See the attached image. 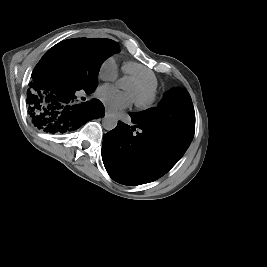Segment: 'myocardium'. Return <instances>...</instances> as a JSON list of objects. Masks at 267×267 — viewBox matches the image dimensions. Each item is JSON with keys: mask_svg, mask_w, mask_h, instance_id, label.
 Returning <instances> with one entry per match:
<instances>
[{"mask_svg": "<svg viewBox=\"0 0 267 267\" xmlns=\"http://www.w3.org/2000/svg\"><path fill=\"white\" fill-rule=\"evenodd\" d=\"M131 81L133 82V84L139 90V93L137 95L133 96L135 104L137 106H140V107H147V106H149L153 102V100L155 98V94L152 93L151 91H149L140 82L135 81L133 79H131Z\"/></svg>", "mask_w": 267, "mask_h": 267, "instance_id": "myocardium-1", "label": "myocardium"}]
</instances>
